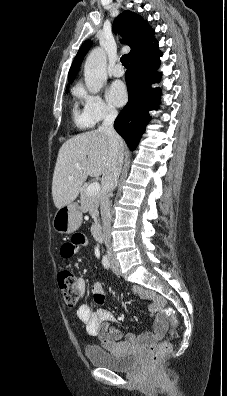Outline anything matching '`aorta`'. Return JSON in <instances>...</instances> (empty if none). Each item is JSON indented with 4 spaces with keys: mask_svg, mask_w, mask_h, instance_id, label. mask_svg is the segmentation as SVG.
I'll return each instance as SVG.
<instances>
[{
    "mask_svg": "<svg viewBox=\"0 0 227 396\" xmlns=\"http://www.w3.org/2000/svg\"><path fill=\"white\" fill-rule=\"evenodd\" d=\"M106 62V53L100 47L92 50L86 59L84 67L85 84L92 94H97L107 80Z\"/></svg>",
    "mask_w": 227,
    "mask_h": 396,
    "instance_id": "762f6f07",
    "label": "aorta"
}]
</instances>
